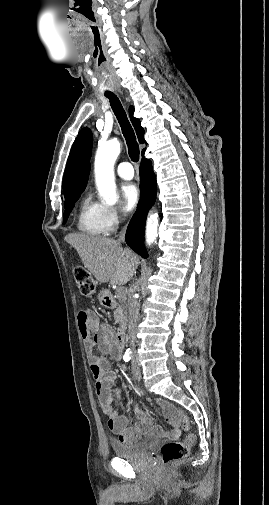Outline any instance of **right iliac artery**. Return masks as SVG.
Listing matches in <instances>:
<instances>
[{
  "label": "right iliac artery",
  "instance_id": "right-iliac-artery-1",
  "mask_svg": "<svg viewBox=\"0 0 269 505\" xmlns=\"http://www.w3.org/2000/svg\"><path fill=\"white\" fill-rule=\"evenodd\" d=\"M124 361L128 362L131 359V352L126 351L123 356Z\"/></svg>",
  "mask_w": 269,
  "mask_h": 505
}]
</instances>
